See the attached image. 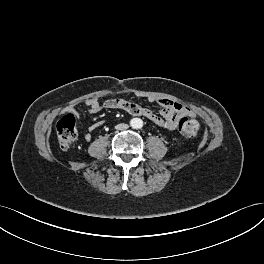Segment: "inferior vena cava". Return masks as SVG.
<instances>
[{
  "mask_svg": "<svg viewBox=\"0 0 264 264\" xmlns=\"http://www.w3.org/2000/svg\"><path fill=\"white\" fill-rule=\"evenodd\" d=\"M128 127H129L128 124H124V123L123 124H118V125L115 126V128L117 130H121V131L128 129Z\"/></svg>",
  "mask_w": 264,
  "mask_h": 264,
  "instance_id": "inferior-vena-cava-1",
  "label": "inferior vena cava"
}]
</instances>
